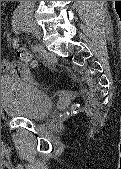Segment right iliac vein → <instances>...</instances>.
Segmentation results:
<instances>
[{"label":"right iliac vein","mask_w":121,"mask_h":169,"mask_svg":"<svg viewBox=\"0 0 121 169\" xmlns=\"http://www.w3.org/2000/svg\"><path fill=\"white\" fill-rule=\"evenodd\" d=\"M24 26L27 28V30H29L30 32L33 33V35L37 38L41 37V32L40 30L37 28V26L35 25L34 21L30 18H26L24 20Z\"/></svg>","instance_id":"1"}]
</instances>
